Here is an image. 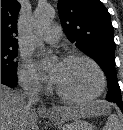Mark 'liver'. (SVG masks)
Listing matches in <instances>:
<instances>
[{"label":"liver","mask_w":123,"mask_h":130,"mask_svg":"<svg viewBox=\"0 0 123 130\" xmlns=\"http://www.w3.org/2000/svg\"><path fill=\"white\" fill-rule=\"evenodd\" d=\"M98 103L82 106H58L51 109L29 106L23 93L1 84V130H38V116L63 123L97 114Z\"/></svg>","instance_id":"1"}]
</instances>
